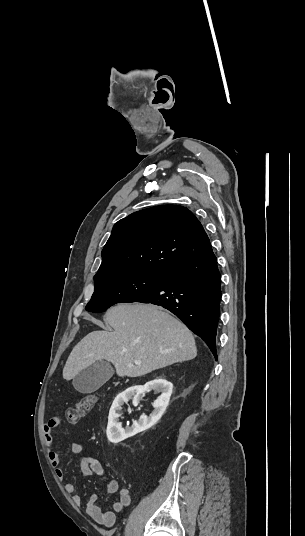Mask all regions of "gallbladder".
<instances>
[{"instance_id": "gallbladder-1", "label": "gallbladder", "mask_w": 305, "mask_h": 536, "mask_svg": "<svg viewBox=\"0 0 305 536\" xmlns=\"http://www.w3.org/2000/svg\"><path fill=\"white\" fill-rule=\"evenodd\" d=\"M114 370L108 362H94L73 378V386L80 394H92L112 378Z\"/></svg>"}]
</instances>
